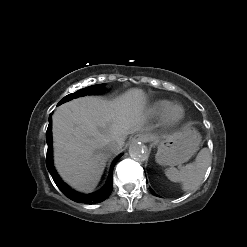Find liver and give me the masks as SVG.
I'll return each mask as SVG.
<instances>
[{
    "label": "liver",
    "mask_w": 247,
    "mask_h": 247,
    "mask_svg": "<svg viewBox=\"0 0 247 247\" xmlns=\"http://www.w3.org/2000/svg\"><path fill=\"white\" fill-rule=\"evenodd\" d=\"M146 94L132 88L112 101L85 96L62 104L53 114L54 164L74 189L91 192L112 153L110 142L143 129Z\"/></svg>",
    "instance_id": "liver-1"
}]
</instances>
